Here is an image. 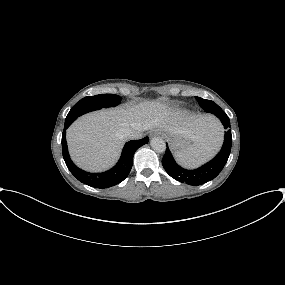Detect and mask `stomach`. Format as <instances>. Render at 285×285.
<instances>
[{
    "label": "stomach",
    "instance_id": "obj_1",
    "mask_svg": "<svg viewBox=\"0 0 285 285\" xmlns=\"http://www.w3.org/2000/svg\"><path fill=\"white\" fill-rule=\"evenodd\" d=\"M166 135H167V137L171 143V147L175 150L185 149L192 142L190 139L185 138L183 136L172 135V134L167 133V132H166Z\"/></svg>",
    "mask_w": 285,
    "mask_h": 285
}]
</instances>
